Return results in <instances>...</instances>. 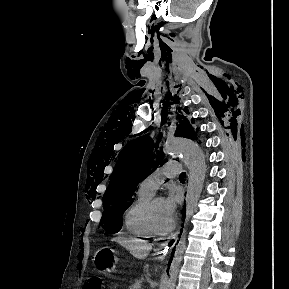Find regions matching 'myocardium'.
I'll return each mask as SVG.
<instances>
[{
    "label": "myocardium",
    "mask_w": 289,
    "mask_h": 289,
    "mask_svg": "<svg viewBox=\"0 0 289 289\" xmlns=\"http://www.w3.org/2000/svg\"><path fill=\"white\" fill-rule=\"evenodd\" d=\"M158 199H162V197L159 195H153L149 199V201L146 205V208H145V220H146V223H147L149 230L154 235H166L174 229L175 223H174V221H171L170 225L167 226L166 228H160L156 225L154 217H153V205H154L155 201Z\"/></svg>",
    "instance_id": "myocardium-1"
}]
</instances>
